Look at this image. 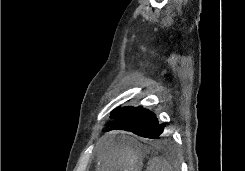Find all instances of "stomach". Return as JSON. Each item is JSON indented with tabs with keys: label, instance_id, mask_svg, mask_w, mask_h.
Instances as JSON below:
<instances>
[{
	"label": "stomach",
	"instance_id": "0dacf381",
	"mask_svg": "<svg viewBox=\"0 0 245 171\" xmlns=\"http://www.w3.org/2000/svg\"><path fill=\"white\" fill-rule=\"evenodd\" d=\"M145 150L133 136H110L101 144L96 171H141Z\"/></svg>",
	"mask_w": 245,
	"mask_h": 171
}]
</instances>
